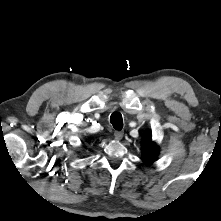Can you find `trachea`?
Instances as JSON below:
<instances>
[{
    "label": "trachea",
    "instance_id": "3493384b",
    "mask_svg": "<svg viewBox=\"0 0 221 221\" xmlns=\"http://www.w3.org/2000/svg\"><path fill=\"white\" fill-rule=\"evenodd\" d=\"M110 122L116 130H121L123 128L122 115L119 112H113L110 116Z\"/></svg>",
    "mask_w": 221,
    "mask_h": 221
}]
</instances>
